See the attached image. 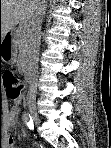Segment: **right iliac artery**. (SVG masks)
I'll return each instance as SVG.
<instances>
[{"label": "right iliac artery", "instance_id": "82829eb1", "mask_svg": "<svg viewBox=\"0 0 111 148\" xmlns=\"http://www.w3.org/2000/svg\"><path fill=\"white\" fill-rule=\"evenodd\" d=\"M23 122L29 127V128H33V120L30 114L28 113H24L22 116Z\"/></svg>", "mask_w": 111, "mask_h": 148}]
</instances>
